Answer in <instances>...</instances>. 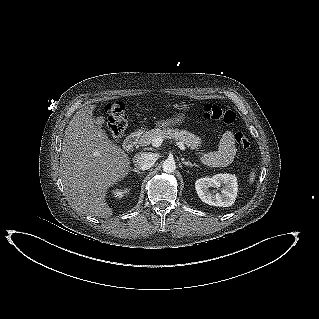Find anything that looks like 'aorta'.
<instances>
[{"mask_svg":"<svg viewBox=\"0 0 319 319\" xmlns=\"http://www.w3.org/2000/svg\"><path fill=\"white\" fill-rule=\"evenodd\" d=\"M163 170L167 173H172L176 169L175 161L172 159H167L163 162Z\"/></svg>","mask_w":319,"mask_h":319,"instance_id":"obj_1","label":"aorta"}]
</instances>
